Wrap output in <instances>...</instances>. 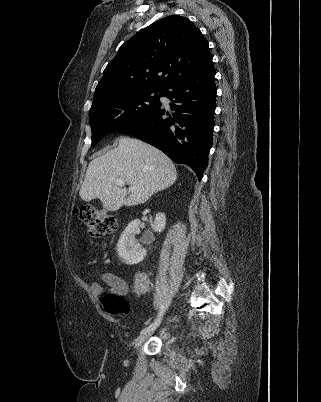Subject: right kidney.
Instances as JSON below:
<instances>
[{"label": "right kidney", "instance_id": "1", "mask_svg": "<svg viewBox=\"0 0 321 402\" xmlns=\"http://www.w3.org/2000/svg\"><path fill=\"white\" fill-rule=\"evenodd\" d=\"M166 217L163 213H157L153 222V230L162 232L165 228ZM140 220L131 221L122 232L118 244L117 253L121 260L128 264H138L146 256V250L136 242L135 235L139 232Z\"/></svg>", "mask_w": 321, "mask_h": 402}]
</instances>
